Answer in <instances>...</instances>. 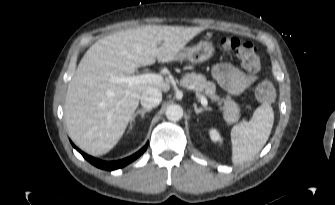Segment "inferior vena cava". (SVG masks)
<instances>
[{
    "label": "inferior vena cava",
    "mask_w": 335,
    "mask_h": 205,
    "mask_svg": "<svg viewBox=\"0 0 335 205\" xmlns=\"http://www.w3.org/2000/svg\"><path fill=\"white\" fill-rule=\"evenodd\" d=\"M161 100L162 93L156 88L146 89L140 97V103L146 109H152L158 106Z\"/></svg>",
    "instance_id": "inferior-vena-cava-1"
}]
</instances>
